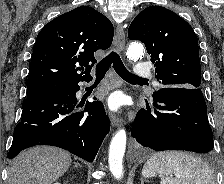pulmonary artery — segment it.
<instances>
[{
  "label": "pulmonary artery",
  "instance_id": "obj_1",
  "mask_svg": "<svg viewBox=\"0 0 224 184\" xmlns=\"http://www.w3.org/2000/svg\"><path fill=\"white\" fill-rule=\"evenodd\" d=\"M133 75L136 77H149L151 75L150 67L147 63H138L134 68Z\"/></svg>",
  "mask_w": 224,
  "mask_h": 184
}]
</instances>
